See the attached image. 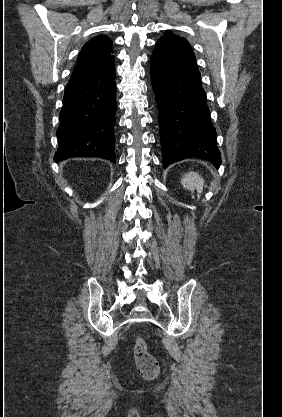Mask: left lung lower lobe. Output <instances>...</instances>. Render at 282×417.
I'll use <instances>...</instances> for the list:
<instances>
[{
    "mask_svg": "<svg viewBox=\"0 0 282 417\" xmlns=\"http://www.w3.org/2000/svg\"><path fill=\"white\" fill-rule=\"evenodd\" d=\"M150 76L158 104L163 168L190 157L219 168L216 130L190 45L157 41Z\"/></svg>",
    "mask_w": 282,
    "mask_h": 417,
    "instance_id": "0a47b994",
    "label": "left lung lower lobe"
}]
</instances>
